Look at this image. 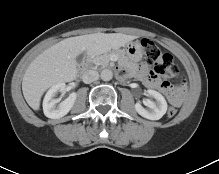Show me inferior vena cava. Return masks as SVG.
Wrapping results in <instances>:
<instances>
[{
  "label": "inferior vena cava",
  "instance_id": "602c4592",
  "mask_svg": "<svg viewBox=\"0 0 219 174\" xmlns=\"http://www.w3.org/2000/svg\"><path fill=\"white\" fill-rule=\"evenodd\" d=\"M99 78V73L95 70H87L82 75V80L84 83L89 84L92 83Z\"/></svg>",
  "mask_w": 219,
  "mask_h": 174
}]
</instances>
